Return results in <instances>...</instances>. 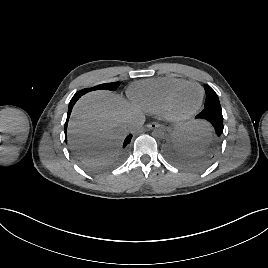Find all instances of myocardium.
<instances>
[{
    "instance_id": "f54148a6",
    "label": "myocardium",
    "mask_w": 268,
    "mask_h": 268,
    "mask_svg": "<svg viewBox=\"0 0 268 268\" xmlns=\"http://www.w3.org/2000/svg\"><path fill=\"white\" fill-rule=\"evenodd\" d=\"M188 86H196L199 88L200 90V99L198 101V104L189 112L184 113V114H178L173 110V102L175 97L177 96V94L183 90L184 88L188 87ZM204 100V89L203 87L196 83V82H185L177 87H175L167 96L164 105H163V109H162V113L164 115V117L172 122L175 123H179V122H183L186 121L190 118H192L201 108L202 103Z\"/></svg>"
}]
</instances>
